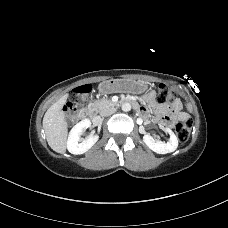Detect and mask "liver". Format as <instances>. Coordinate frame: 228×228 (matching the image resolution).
Here are the masks:
<instances>
[{
	"instance_id": "1",
	"label": "liver",
	"mask_w": 228,
	"mask_h": 228,
	"mask_svg": "<svg viewBox=\"0 0 228 228\" xmlns=\"http://www.w3.org/2000/svg\"><path fill=\"white\" fill-rule=\"evenodd\" d=\"M65 94L58 101L49 107L43 118V128L45 130L48 145L57 153H65L66 140L68 135V124L62 107L67 100Z\"/></svg>"
}]
</instances>
